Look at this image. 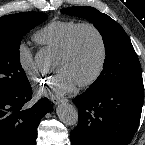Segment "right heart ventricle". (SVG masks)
<instances>
[{
	"instance_id": "e07e8e85",
	"label": "right heart ventricle",
	"mask_w": 145,
	"mask_h": 145,
	"mask_svg": "<svg viewBox=\"0 0 145 145\" xmlns=\"http://www.w3.org/2000/svg\"><path fill=\"white\" fill-rule=\"evenodd\" d=\"M79 23L75 20H52L38 30L33 38L39 45L60 52L69 35Z\"/></svg>"
}]
</instances>
